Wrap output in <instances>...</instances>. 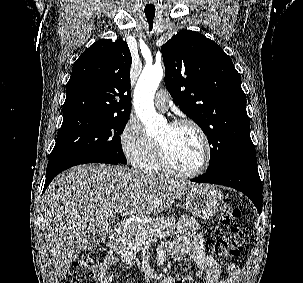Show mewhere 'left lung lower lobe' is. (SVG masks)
<instances>
[{"mask_svg":"<svg viewBox=\"0 0 303 283\" xmlns=\"http://www.w3.org/2000/svg\"><path fill=\"white\" fill-rule=\"evenodd\" d=\"M199 183H213L235 188L247 195L256 206L259 214L262 210V183L257 169L255 154L231 162L221 168L206 172L191 179Z\"/></svg>","mask_w":303,"mask_h":283,"instance_id":"1","label":"left lung lower lobe"}]
</instances>
